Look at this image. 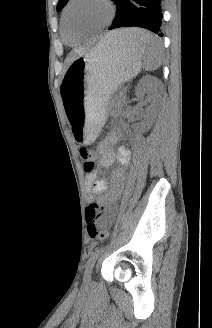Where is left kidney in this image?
<instances>
[{"label": "left kidney", "instance_id": "obj_1", "mask_svg": "<svg viewBox=\"0 0 212 328\" xmlns=\"http://www.w3.org/2000/svg\"><path fill=\"white\" fill-rule=\"evenodd\" d=\"M160 89V81L150 75L144 76L138 83L135 89V95L137 99H142L145 94L152 95V103L146 110V119L140 123L138 129L142 132L150 129L154 122V118L157 113V96Z\"/></svg>", "mask_w": 212, "mask_h": 328}]
</instances>
